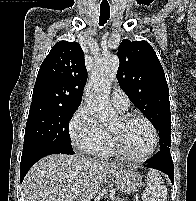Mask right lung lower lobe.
<instances>
[{
	"instance_id": "98d812e1",
	"label": "right lung lower lobe",
	"mask_w": 196,
	"mask_h": 201,
	"mask_svg": "<svg viewBox=\"0 0 196 201\" xmlns=\"http://www.w3.org/2000/svg\"><path fill=\"white\" fill-rule=\"evenodd\" d=\"M74 154L72 149L55 145H37L23 151L20 165V179H24L28 170L41 158L50 154Z\"/></svg>"
}]
</instances>
